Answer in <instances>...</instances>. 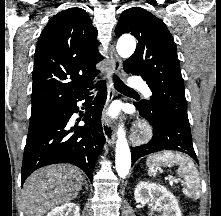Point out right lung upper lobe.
Here are the masks:
<instances>
[{"label":"right lung upper lobe","mask_w":221,"mask_h":216,"mask_svg":"<svg viewBox=\"0 0 221 216\" xmlns=\"http://www.w3.org/2000/svg\"><path fill=\"white\" fill-rule=\"evenodd\" d=\"M97 30L87 12L71 8L54 15L36 46L31 115L50 111L91 87L98 75Z\"/></svg>","instance_id":"1"}]
</instances>
